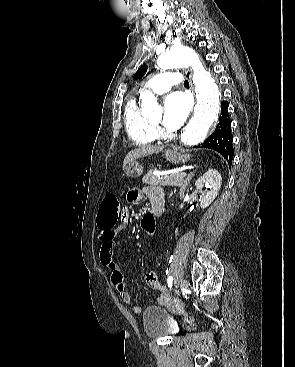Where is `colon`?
<instances>
[{
	"instance_id": "5ec220e1",
	"label": "colon",
	"mask_w": 295,
	"mask_h": 367,
	"mask_svg": "<svg viewBox=\"0 0 295 367\" xmlns=\"http://www.w3.org/2000/svg\"><path fill=\"white\" fill-rule=\"evenodd\" d=\"M121 209L122 208L117 197L112 194L107 195L100 206L98 223L104 226L114 225L121 217ZM140 230L145 231L146 235L149 237L151 235H155L156 230L154 228L153 219L149 216L145 217L142 221V224L140 225Z\"/></svg>"
}]
</instances>
